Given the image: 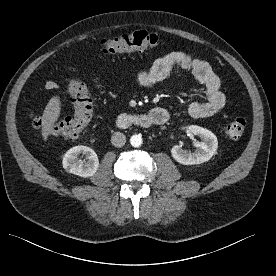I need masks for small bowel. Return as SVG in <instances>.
I'll return each mask as SVG.
<instances>
[{
	"label": "small bowel",
	"mask_w": 276,
	"mask_h": 276,
	"mask_svg": "<svg viewBox=\"0 0 276 276\" xmlns=\"http://www.w3.org/2000/svg\"><path fill=\"white\" fill-rule=\"evenodd\" d=\"M69 69L74 71L72 68ZM174 70L191 72L204 86L201 93L203 100L192 101L186 107L191 116L196 118L209 117L223 108L225 97L220 91V80L211 66L183 51L171 52L157 59L148 70H143L137 75L138 84L144 88L152 87L168 77ZM59 87L60 82L58 81L50 80L45 83V88L48 90H55ZM158 109L165 110L157 107L153 108L149 114H153Z\"/></svg>",
	"instance_id": "c3829d8e"
}]
</instances>
